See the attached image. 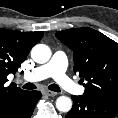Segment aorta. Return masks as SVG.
Listing matches in <instances>:
<instances>
[{"instance_id":"aorta-1","label":"aorta","mask_w":118,"mask_h":118,"mask_svg":"<svg viewBox=\"0 0 118 118\" xmlns=\"http://www.w3.org/2000/svg\"><path fill=\"white\" fill-rule=\"evenodd\" d=\"M51 54L50 48L45 44H37L31 50L32 59L39 64L48 62ZM56 108L60 112H68L72 108V100L67 96H60L56 100Z\"/></svg>"}]
</instances>
